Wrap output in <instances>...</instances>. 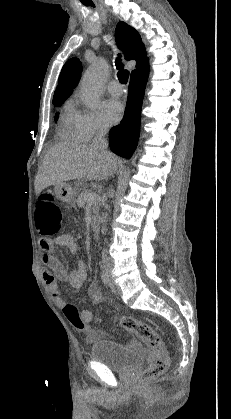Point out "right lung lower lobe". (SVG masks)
<instances>
[{"label": "right lung lower lobe", "mask_w": 231, "mask_h": 419, "mask_svg": "<svg viewBox=\"0 0 231 419\" xmlns=\"http://www.w3.org/2000/svg\"><path fill=\"white\" fill-rule=\"evenodd\" d=\"M149 73V62L131 73L129 96L121 123L111 128L109 141L111 150L125 158H130L136 149L140 134V114L144 89Z\"/></svg>", "instance_id": "1"}]
</instances>
